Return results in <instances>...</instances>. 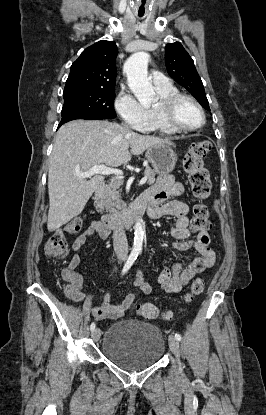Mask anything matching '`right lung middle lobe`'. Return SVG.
I'll return each instance as SVG.
<instances>
[{"label": "right lung middle lobe", "instance_id": "1", "mask_svg": "<svg viewBox=\"0 0 266 415\" xmlns=\"http://www.w3.org/2000/svg\"><path fill=\"white\" fill-rule=\"evenodd\" d=\"M63 98L62 118L75 116L113 119L116 117L115 89H78L64 92Z\"/></svg>", "mask_w": 266, "mask_h": 415}]
</instances>
